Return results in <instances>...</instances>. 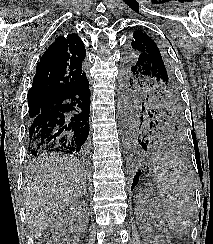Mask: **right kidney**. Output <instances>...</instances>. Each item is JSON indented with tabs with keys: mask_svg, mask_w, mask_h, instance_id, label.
<instances>
[{
	"mask_svg": "<svg viewBox=\"0 0 213 244\" xmlns=\"http://www.w3.org/2000/svg\"><path fill=\"white\" fill-rule=\"evenodd\" d=\"M88 209L87 204L84 201H76L69 208H67L62 216H76L79 219V224L81 227H86L88 222Z\"/></svg>",
	"mask_w": 213,
	"mask_h": 244,
	"instance_id": "right-kidney-1",
	"label": "right kidney"
}]
</instances>
